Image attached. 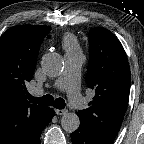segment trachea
Wrapping results in <instances>:
<instances>
[{
    "mask_svg": "<svg viewBox=\"0 0 144 144\" xmlns=\"http://www.w3.org/2000/svg\"><path fill=\"white\" fill-rule=\"evenodd\" d=\"M27 98L30 100L31 103H36L44 106H53L57 109H64L65 108V101L63 98H57L54 100L53 96L51 95H44L42 97H33L30 94L27 95Z\"/></svg>",
    "mask_w": 144,
    "mask_h": 144,
    "instance_id": "1",
    "label": "trachea"
}]
</instances>
